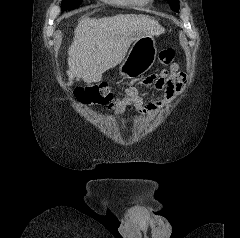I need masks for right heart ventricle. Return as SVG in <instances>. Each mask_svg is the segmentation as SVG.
Returning a JSON list of instances; mask_svg holds the SVG:
<instances>
[{"mask_svg":"<svg viewBox=\"0 0 240 238\" xmlns=\"http://www.w3.org/2000/svg\"><path fill=\"white\" fill-rule=\"evenodd\" d=\"M102 1L118 7L144 6L148 3L147 0H133V2H130V0H102Z\"/></svg>","mask_w":240,"mask_h":238,"instance_id":"1","label":"right heart ventricle"}]
</instances>
